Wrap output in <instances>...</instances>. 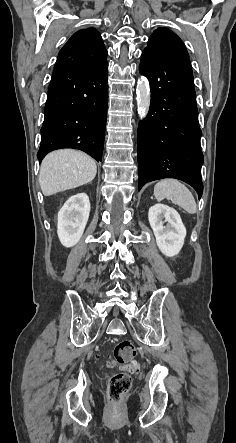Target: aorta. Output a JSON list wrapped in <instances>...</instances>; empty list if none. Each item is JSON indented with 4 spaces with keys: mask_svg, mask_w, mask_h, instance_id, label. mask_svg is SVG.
Segmentation results:
<instances>
[{
    "mask_svg": "<svg viewBox=\"0 0 236 443\" xmlns=\"http://www.w3.org/2000/svg\"><path fill=\"white\" fill-rule=\"evenodd\" d=\"M137 109L141 119H144L150 108L151 93L147 80L142 79L137 85Z\"/></svg>",
    "mask_w": 236,
    "mask_h": 443,
    "instance_id": "1",
    "label": "aorta"
}]
</instances>
